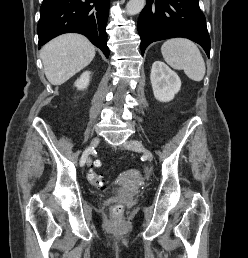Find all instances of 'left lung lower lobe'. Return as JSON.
I'll return each instance as SVG.
<instances>
[{"label": "left lung lower lobe", "instance_id": "1", "mask_svg": "<svg viewBox=\"0 0 248 258\" xmlns=\"http://www.w3.org/2000/svg\"><path fill=\"white\" fill-rule=\"evenodd\" d=\"M141 53L155 41L188 38L210 56V37L198 0H147L138 20Z\"/></svg>", "mask_w": 248, "mask_h": 258}]
</instances>
